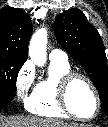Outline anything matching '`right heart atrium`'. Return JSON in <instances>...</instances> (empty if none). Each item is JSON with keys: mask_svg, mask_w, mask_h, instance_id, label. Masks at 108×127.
I'll return each instance as SVG.
<instances>
[{"mask_svg": "<svg viewBox=\"0 0 108 127\" xmlns=\"http://www.w3.org/2000/svg\"><path fill=\"white\" fill-rule=\"evenodd\" d=\"M35 84V70L31 62L26 61L19 69L15 78L17 97L27 102L29 91Z\"/></svg>", "mask_w": 108, "mask_h": 127, "instance_id": "right-heart-atrium-1", "label": "right heart atrium"}]
</instances>
